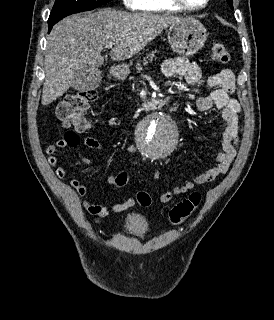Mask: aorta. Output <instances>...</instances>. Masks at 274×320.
I'll list each match as a JSON object with an SVG mask.
<instances>
[{
  "instance_id": "obj_1",
  "label": "aorta",
  "mask_w": 274,
  "mask_h": 320,
  "mask_svg": "<svg viewBox=\"0 0 274 320\" xmlns=\"http://www.w3.org/2000/svg\"><path fill=\"white\" fill-rule=\"evenodd\" d=\"M178 136L174 122L164 114L145 121L138 131L141 149L151 160L163 159L170 155L178 144Z\"/></svg>"
}]
</instances>
